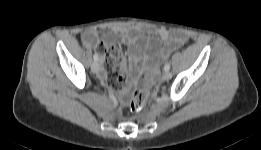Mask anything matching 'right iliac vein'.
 <instances>
[{"label":"right iliac vein","mask_w":261,"mask_h":150,"mask_svg":"<svg viewBox=\"0 0 261 150\" xmlns=\"http://www.w3.org/2000/svg\"><path fill=\"white\" fill-rule=\"evenodd\" d=\"M91 70L92 72L94 73H98L99 70H100V65L97 61L93 62L92 65H91Z\"/></svg>","instance_id":"right-iliac-vein-1"}]
</instances>
